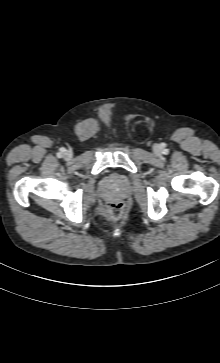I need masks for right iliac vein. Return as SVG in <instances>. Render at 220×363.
Here are the masks:
<instances>
[{
  "instance_id": "obj_1",
  "label": "right iliac vein",
  "mask_w": 220,
  "mask_h": 363,
  "mask_svg": "<svg viewBox=\"0 0 220 363\" xmlns=\"http://www.w3.org/2000/svg\"><path fill=\"white\" fill-rule=\"evenodd\" d=\"M63 157H64L65 160L69 161V160L72 159L73 154H72L71 151L66 150V151L63 152Z\"/></svg>"
}]
</instances>
